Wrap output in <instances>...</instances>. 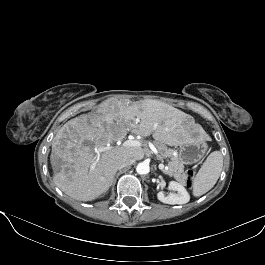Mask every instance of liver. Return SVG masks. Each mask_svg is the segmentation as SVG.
<instances>
[{
	"label": "liver",
	"instance_id": "liver-1",
	"mask_svg": "<svg viewBox=\"0 0 265 265\" xmlns=\"http://www.w3.org/2000/svg\"><path fill=\"white\" fill-rule=\"evenodd\" d=\"M188 119V114L160 101L106 100L95 113L73 118L58 130L50 156L53 169H59L54 183L73 199L94 200L108 191L119 161L145 155L141 147L117 146L98 157L95 148L121 141L129 130L169 146L183 145L194 132Z\"/></svg>",
	"mask_w": 265,
	"mask_h": 265
}]
</instances>
